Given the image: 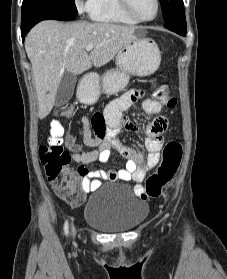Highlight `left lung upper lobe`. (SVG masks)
Segmentation results:
<instances>
[{"label": "left lung upper lobe", "mask_w": 227, "mask_h": 279, "mask_svg": "<svg viewBox=\"0 0 227 279\" xmlns=\"http://www.w3.org/2000/svg\"><path fill=\"white\" fill-rule=\"evenodd\" d=\"M165 23L186 24L183 0H160Z\"/></svg>", "instance_id": "left-lung-upper-lobe-1"}]
</instances>
